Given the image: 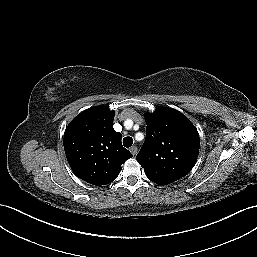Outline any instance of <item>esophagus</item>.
I'll use <instances>...</instances> for the list:
<instances>
[{"label":"esophagus","instance_id":"1","mask_svg":"<svg viewBox=\"0 0 257 257\" xmlns=\"http://www.w3.org/2000/svg\"><path fill=\"white\" fill-rule=\"evenodd\" d=\"M130 152L135 156L137 154V147L136 146L130 147Z\"/></svg>","mask_w":257,"mask_h":257}]
</instances>
